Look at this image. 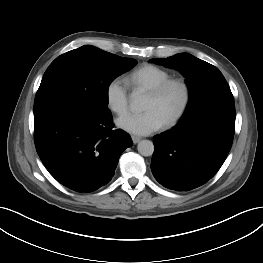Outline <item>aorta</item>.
I'll use <instances>...</instances> for the list:
<instances>
[{
  "instance_id": "1",
  "label": "aorta",
  "mask_w": 263,
  "mask_h": 263,
  "mask_svg": "<svg viewBox=\"0 0 263 263\" xmlns=\"http://www.w3.org/2000/svg\"><path fill=\"white\" fill-rule=\"evenodd\" d=\"M144 104L143 96L138 92H133L130 97V107L134 111L142 109ZM138 152L145 157L151 156L154 153V144L150 140H142L137 146Z\"/></svg>"
}]
</instances>
